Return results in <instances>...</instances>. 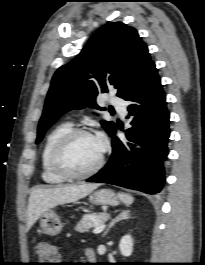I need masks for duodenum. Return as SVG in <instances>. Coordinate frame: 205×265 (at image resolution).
<instances>
[{
  "mask_svg": "<svg viewBox=\"0 0 205 265\" xmlns=\"http://www.w3.org/2000/svg\"><path fill=\"white\" fill-rule=\"evenodd\" d=\"M86 255H87V258L90 262H93L95 261L96 259V255H95V252L92 248H88L87 251H86Z\"/></svg>",
  "mask_w": 205,
  "mask_h": 265,
  "instance_id": "1",
  "label": "duodenum"
}]
</instances>
